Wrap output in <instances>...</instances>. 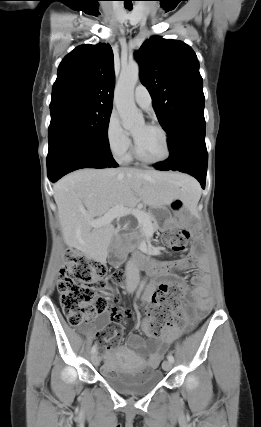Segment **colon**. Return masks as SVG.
Masks as SVG:
<instances>
[{
  "label": "colon",
  "mask_w": 261,
  "mask_h": 427,
  "mask_svg": "<svg viewBox=\"0 0 261 427\" xmlns=\"http://www.w3.org/2000/svg\"><path fill=\"white\" fill-rule=\"evenodd\" d=\"M187 230H173L163 236L164 242L175 252L183 251L189 241ZM122 286L125 274L115 270L107 277L106 267L89 260L78 251H69L58 279V292L62 310L71 326L91 322L98 314L107 312V298L102 292ZM183 286L175 280L169 282L152 296L149 309L147 332L159 337L163 331L173 326L183 314Z\"/></svg>",
  "instance_id": "1"
}]
</instances>
